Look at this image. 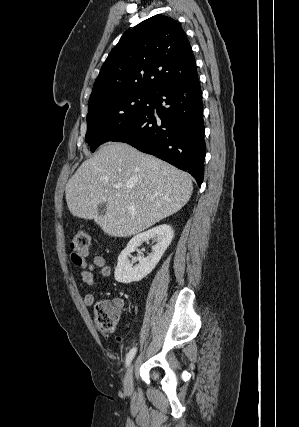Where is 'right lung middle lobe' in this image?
Returning <instances> with one entry per match:
<instances>
[{
	"instance_id": "dd1d6c3e",
	"label": "right lung middle lobe",
	"mask_w": 299,
	"mask_h": 427,
	"mask_svg": "<svg viewBox=\"0 0 299 427\" xmlns=\"http://www.w3.org/2000/svg\"><path fill=\"white\" fill-rule=\"evenodd\" d=\"M153 94L123 92L90 104L85 140L91 151L132 126L148 110Z\"/></svg>"
}]
</instances>
